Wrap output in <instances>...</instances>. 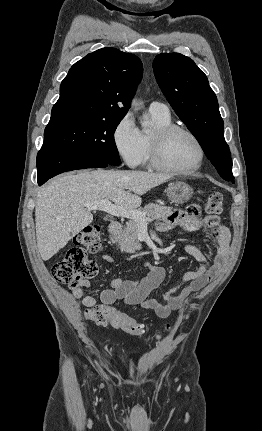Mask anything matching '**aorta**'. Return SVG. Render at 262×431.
Returning a JSON list of instances; mask_svg holds the SVG:
<instances>
[{
    "mask_svg": "<svg viewBox=\"0 0 262 431\" xmlns=\"http://www.w3.org/2000/svg\"><path fill=\"white\" fill-rule=\"evenodd\" d=\"M132 106L137 107L138 106V102L136 101V99H133L132 101ZM149 124L147 122L142 123V126H148Z\"/></svg>",
    "mask_w": 262,
    "mask_h": 431,
    "instance_id": "aorta-1",
    "label": "aorta"
}]
</instances>
